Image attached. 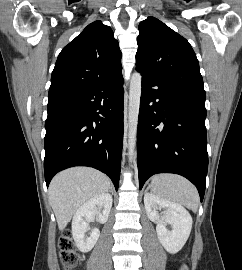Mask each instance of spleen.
Returning <instances> with one entry per match:
<instances>
[{
	"label": "spleen",
	"instance_id": "obj_1",
	"mask_svg": "<svg viewBox=\"0 0 242 270\" xmlns=\"http://www.w3.org/2000/svg\"><path fill=\"white\" fill-rule=\"evenodd\" d=\"M152 191L160 198L184 205L196 212L199 195L196 187L184 177L174 174H159L152 178Z\"/></svg>",
	"mask_w": 242,
	"mask_h": 270
}]
</instances>
